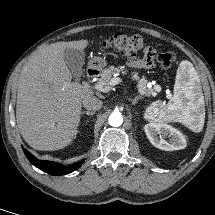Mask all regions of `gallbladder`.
<instances>
[{
  "label": "gallbladder",
  "mask_w": 215,
  "mask_h": 215,
  "mask_svg": "<svg viewBox=\"0 0 215 215\" xmlns=\"http://www.w3.org/2000/svg\"><path fill=\"white\" fill-rule=\"evenodd\" d=\"M63 58L74 77H80L82 75L83 65L85 63L84 51L66 48L63 53Z\"/></svg>",
  "instance_id": "1"
}]
</instances>
